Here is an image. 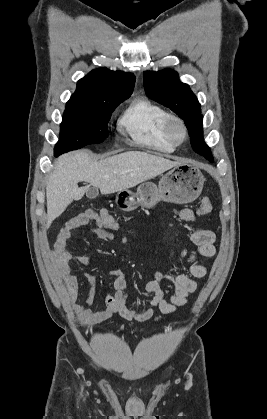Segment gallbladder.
<instances>
[{
  "label": "gallbladder",
  "instance_id": "gallbladder-1",
  "mask_svg": "<svg viewBox=\"0 0 267 419\" xmlns=\"http://www.w3.org/2000/svg\"><path fill=\"white\" fill-rule=\"evenodd\" d=\"M99 191L96 187H86V196L90 199H94L98 196Z\"/></svg>",
  "mask_w": 267,
  "mask_h": 419
}]
</instances>
